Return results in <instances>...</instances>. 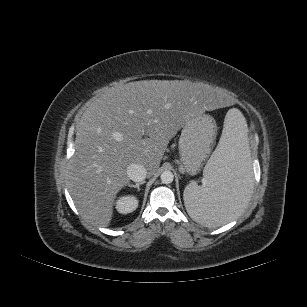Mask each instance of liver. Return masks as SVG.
<instances>
[{"label":"liver","instance_id":"1","mask_svg":"<svg viewBox=\"0 0 307 307\" xmlns=\"http://www.w3.org/2000/svg\"><path fill=\"white\" fill-rule=\"evenodd\" d=\"M230 102L206 84L142 80L117 85L94 97L76 126L68 188L84 219L108 227L117 193L129 183L127 167L153 173L169 141L191 117Z\"/></svg>","mask_w":307,"mask_h":307}]
</instances>
